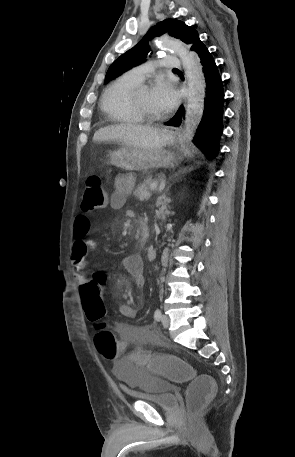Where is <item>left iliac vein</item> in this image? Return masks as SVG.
<instances>
[{"label":"left iliac vein","instance_id":"4c4485c4","mask_svg":"<svg viewBox=\"0 0 295 457\" xmlns=\"http://www.w3.org/2000/svg\"><path fill=\"white\" fill-rule=\"evenodd\" d=\"M161 322L164 328H168L170 325V319L167 315H162L161 316Z\"/></svg>","mask_w":295,"mask_h":457}]
</instances>
